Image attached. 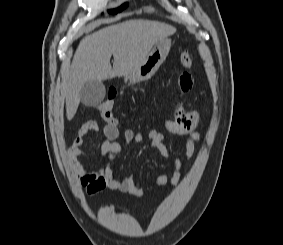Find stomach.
<instances>
[{
  "label": "stomach",
  "instance_id": "0dacf381",
  "mask_svg": "<svg viewBox=\"0 0 283 245\" xmlns=\"http://www.w3.org/2000/svg\"><path fill=\"white\" fill-rule=\"evenodd\" d=\"M171 48V40L162 39L156 43L145 60L125 75V81L136 83L150 79L166 59Z\"/></svg>",
  "mask_w": 283,
  "mask_h": 245
}]
</instances>
